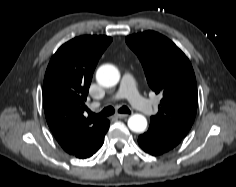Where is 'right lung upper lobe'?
<instances>
[{"label":"right lung upper lobe","mask_w":236,"mask_h":187,"mask_svg":"<svg viewBox=\"0 0 236 187\" xmlns=\"http://www.w3.org/2000/svg\"><path fill=\"white\" fill-rule=\"evenodd\" d=\"M107 36H80L51 58L43 83L47 123L61 147L78 158L92 156L103 144L108 120L83 115L96 64L111 43Z\"/></svg>","instance_id":"cb5924a9"}]
</instances>
